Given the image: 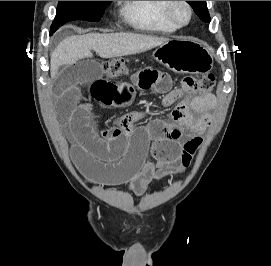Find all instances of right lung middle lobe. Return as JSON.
<instances>
[{"instance_id":"obj_1","label":"right lung middle lobe","mask_w":271,"mask_h":266,"mask_svg":"<svg viewBox=\"0 0 271 266\" xmlns=\"http://www.w3.org/2000/svg\"><path fill=\"white\" fill-rule=\"evenodd\" d=\"M110 1H59L51 33L73 20L98 21Z\"/></svg>"}]
</instances>
